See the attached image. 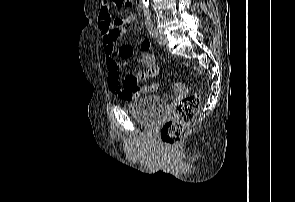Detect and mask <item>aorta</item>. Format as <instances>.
<instances>
[{
	"mask_svg": "<svg viewBox=\"0 0 295 202\" xmlns=\"http://www.w3.org/2000/svg\"><path fill=\"white\" fill-rule=\"evenodd\" d=\"M140 3L142 5V10H143L144 17L146 19H149L150 18L149 0H140Z\"/></svg>",
	"mask_w": 295,
	"mask_h": 202,
	"instance_id": "aorta-1",
	"label": "aorta"
}]
</instances>
